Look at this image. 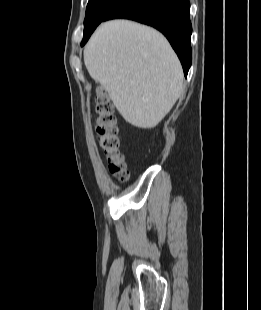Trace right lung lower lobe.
I'll return each instance as SVG.
<instances>
[{"mask_svg": "<svg viewBox=\"0 0 261 310\" xmlns=\"http://www.w3.org/2000/svg\"><path fill=\"white\" fill-rule=\"evenodd\" d=\"M189 0H125L103 21L114 18L132 19L161 31L177 53L185 76L192 62ZM94 30L84 36L83 46Z\"/></svg>", "mask_w": 261, "mask_h": 310, "instance_id": "1", "label": "right lung lower lobe"}]
</instances>
